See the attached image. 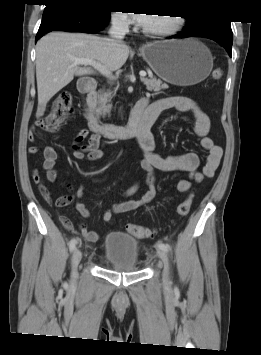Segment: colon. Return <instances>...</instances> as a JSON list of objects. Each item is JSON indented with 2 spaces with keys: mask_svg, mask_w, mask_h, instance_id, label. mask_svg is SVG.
Here are the masks:
<instances>
[{
  "mask_svg": "<svg viewBox=\"0 0 261 355\" xmlns=\"http://www.w3.org/2000/svg\"><path fill=\"white\" fill-rule=\"evenodd\" d=\"M223 76L222 69H215L212 72L214 80H220ZM72 93L70 90L61 91L52 103L51 110L48 115L37 122L38 129L46 132H56L60 125L67 122L72 114ZM192 206V195L183 200L177 207V215L179 217L186 216ZM127 231L136 238H149L153 235V231L146 226L138 224H127Z\"/></svg>",
  "mask_w": 261,
  "mask_h": 355,
  "instance_id": "1",
  "label": "colon"
}]
</instances>
